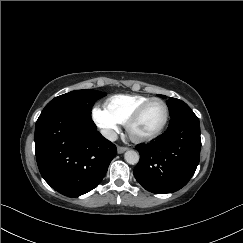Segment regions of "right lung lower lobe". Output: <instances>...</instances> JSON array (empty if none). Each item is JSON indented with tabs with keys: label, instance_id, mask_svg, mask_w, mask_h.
<instances>
[{
	"label": "right lung lower lobe",
	"instance_id": "1",
	"mask_svg": "<svg viewBox=\"0 0 243 243\" xmlns=\"http://www.w3.org/2000/svg\"><path fill=\"white\" fill-rule=\"evenodd\" d=\"M35 152L45 181L65 196L78 197L100 183L117 150L91 118L52 113L36 122Z\"/></svg>",
	"mask_w": 243,
	"mask_h": 243
}]
</instances>
